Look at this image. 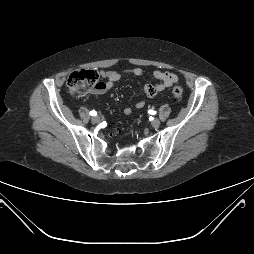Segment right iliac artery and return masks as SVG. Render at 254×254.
I'll list each match as a JSON object with an SVG mask.
<instances>
[{
    "label": "right iliac artery",
    "instance_id": "right-iliac-artery-1",
    "mask_svg": "<svg viewBox=\"0 0 254 254\" xmlns=\"http://www.w3.org/2000/svg\"><path fill=\"white\" fill-rule=\"evenodd\" d=\"M90 115L95 116V115H97V112L93 110L90 112Z\"/></svg>",
    "mask_w": 254,
    "mask_h": 254
}]
</instances>
